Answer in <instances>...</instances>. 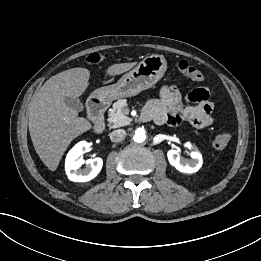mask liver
<instances>
[{"label":"liver","instance_id":"6515ba94","mask_svg":"<svg viewBox=\"0 0 261 261\" xmlns=\"http://www.w3.org/2000/svg\"><path fill=\"white\" fill-rule=\"evenodd\" d=\"M136 65L119 63L109 66L106 74L115 76L129 71ZM90 71L72 68L60 72L37 91L29 105V132L33 146L45 166L55 171L69 144L92 128L84 117L68 107L65 97H80L89 85Z\"/></svg>","mask_w":261,"mask_h":261}]
</instances>
